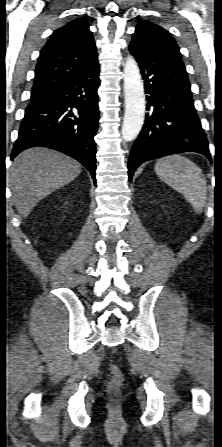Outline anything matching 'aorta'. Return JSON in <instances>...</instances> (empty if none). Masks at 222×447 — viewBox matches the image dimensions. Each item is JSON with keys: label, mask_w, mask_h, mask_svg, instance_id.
Listing matches in <instances>:
<instances>
[{"label": "aorta", "mask_w": 222, "mask_h": 447, "mask_svg": "<svg viewBox=\"0 0 222 447\" xmlns=\"http://www.w3.org/2000/svg\"><path fill=\"white\" fill-rule=\"evenodd\" d=\"M125 114L122 138L132 141L141 131L145 116V95L137 62L128 56L124 65Z\"/></svg>", "instance_id": "obj_1"}]
</instances>
